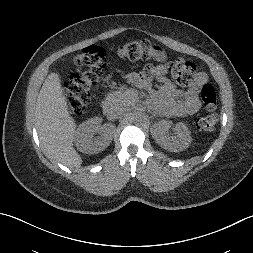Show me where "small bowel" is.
<instances>
[{
  "label": "small bowel",
  "mask_w": 253,
  "mask_h": 253,
  "mask_svg": "<svg viewBox=\"0 0 253 253\" xmlns=\"http://www.w3.org/2000/svg\"><path fill=\"white\" fill-rule=\"evenodd\" d=\"M165 59L164 52H161L159 61L162 62ZM165 73L164 65L150 66L140 74L133 73L130 75V79L135 85L152 91L171 113L177 116L196 113L201 107L199 85H193L185 92L180 93L168 81ZM153 81L155 88H153Z\"/></svg>",
  "instance_id": "c3829d8e"
}]
</instances>
